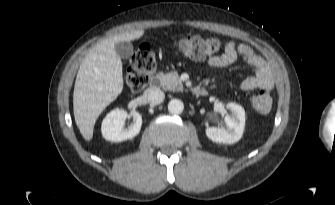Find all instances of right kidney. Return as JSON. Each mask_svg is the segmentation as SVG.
I'll list each match as a JSON object with an SVG mask.
<instances>
[{"mask_svg": "<svg viewBox=\"0 0 335 205\" xmlns=\"http://www.w3.org/2000/svg\"><path fill=\"white\" fill-rule=\"evenodd\" d=\"M128 113L122 109H115L107 114L102 122V135L103 137L112 142H120L131 139L139 134L142 126V116L138 112H133V123L125 128V120Z\"/></svg>", "mask_w": 335, "mask_h": 205, "instance_id": "right-kidney-1", "label": "right kidney"}]
</instances>
